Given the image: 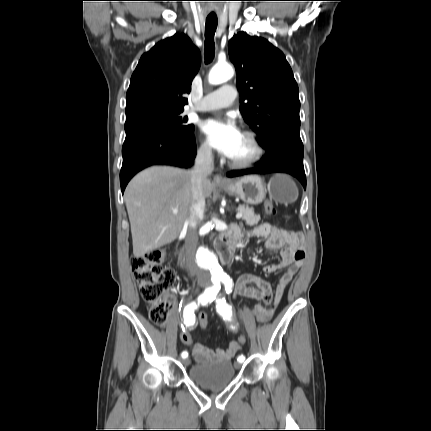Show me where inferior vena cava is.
<instances>
[{
	"label": "inferior vena cava",
	"instance_id": "inferior-vena-cava-1",
	"mask_svg": "<svg viewBox=\"0 0 431 431\" xmlns=\"http://www.w3.org/2000/svg\"><path fill=\"white\" fill-rule=\"evenodd\" d=\"M213 169L214 160L212 149L209 146H203L197 151L194 167L190 171L192 203L190 206V214L185 221V224L188 226L185 240L186 258L189 262L191 272L197 277L202 275V272L194 263V256L198 245L197 228L205 209L202 183L211 175Z\"/></svg>",
	"mask_w": 431,
	"mask_h": 431
}]
</instances>
